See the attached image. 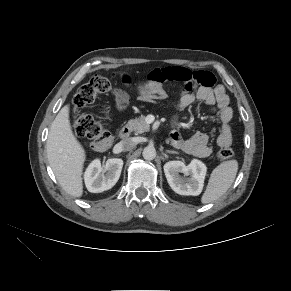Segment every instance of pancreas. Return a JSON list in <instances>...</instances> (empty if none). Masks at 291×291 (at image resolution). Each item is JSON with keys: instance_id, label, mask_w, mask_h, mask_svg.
Segmentation results:
<instances>
[{"instance_id": "cf45deb5", "label": "pancreas", "mask_w": 291, "mask_h": 291, "mask_svg": "<svg viewBox=\"0 0 291 291\" xmlns=\"http://www.w3.org/2000/svg\"><path fill=\"white\" fill-rule=\"evenodd\" d=\"M127 127L135 132V134H141L149 131L150 126L146 123L145 117L141 115L139 118L132 119L128 121Z\"/></svg>"}]
</instances>
